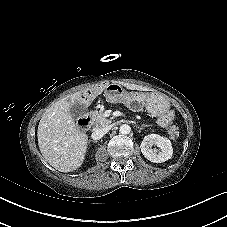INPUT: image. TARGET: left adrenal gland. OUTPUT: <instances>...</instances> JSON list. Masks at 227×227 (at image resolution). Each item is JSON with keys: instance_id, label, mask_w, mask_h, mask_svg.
<instances>
[{"instance_id": "1", "label": "left adrenal gland", "mask_w": 227, "mask_h": 227, "mask_svg": "<svg viewBox=\"0 0 227 227\" xmlns=\"http://www.w3.org/2000/svg\"><path fill=\"white\" fill-rule=\"evenodd\" d=\"M148 126H149V125L143 124V125H141V129L144 128V127H148Z\"/></svg>"}]
</instances>
